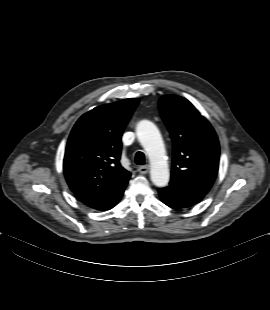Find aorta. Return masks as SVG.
Masks as SVG:
<instances>
[{
    "instance_id": "1",
    "label": "aorta",
    "mask_w": 270,
    "mask_h": 310,
    "mask_svg": "<svg viewBox=\"0 0 270 310\" xmlns=\"http://www.w3.org/2000/svg\"><path fill=\"white\" fill-rule=\"evenodd\" d=\"M136 134L144 147L151 163V181L157 187H165L169 182V168L165 159V147L161 134L156 125L148 120L137 124Z\"/></svg>"
}]
</instances>
